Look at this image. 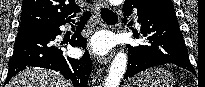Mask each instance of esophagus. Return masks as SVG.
Masks as SVG:
<instances>
[{"label":"esophagus","instance_id":"esophagus-1","mask_svg":"<svg viewBox=\"0 0 205 87\" xmlns=\"http://www.w3.org/2000/svg\"><path fill=\"white\" fill-rule=\"evenodd\" d=\"M96 5H98L99 9L101 7H106L107 6V1L106 0H95ZM114 51L109 52L107 55L101 57L99 59L101 64H107L113 57Z\"/></svg>","mask_w":205,"mask_h":87}]
</instances>
